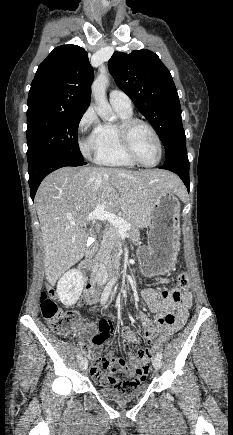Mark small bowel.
<instances>
[{
  "instance_id": "obj_1",
  "label": "small bowel",
  "mask_w": 233,
  "mask_h": 435,
  "mask_svg": "<svg viewBox=\"0 0 233 435\" xmlns=\"http://www.w3.org/2000/svg\"><path fill=\"white\" fill-rule=\"evenodd\" d=\"M160 280L162 282L168 281L166 278ZM141 295L149 310L155 315V323L146 315H139L143 336L146 340L154 338L155 345L151 348L139 349L138 357L133 353H128V363L124 359L116 357L113 352L106 355L102 364L97 363V360L100 359L102 347L114 329L110 319L101 318L98 324L80 321L75 327L80 350L86 347V356L94 361L91 374L98 385L118 384L119 378L115 376V373L120 370L129 373L137 368L139 374L136 379L138 381L145 379L149 372L147 360L150 353L159 348L188 318V309L192 302V294L188 289H183L179 285L171 289L163 287L146 288ZM78 305H81V303ZM94 334L99 339L90 342V338ZM122 340L135 344L138 340L137 333L134 330L125 328L122 332ZM103 369L107 372L104 373Z\"/></svg>"
}]
</instances>
